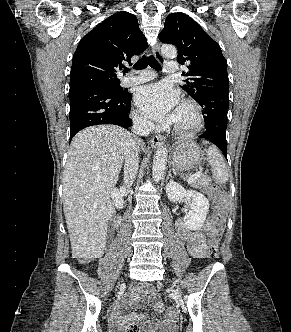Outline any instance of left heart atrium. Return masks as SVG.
Listing matches in <instances>:
<instances>
[{"label":"left heart atrium","instance_id":"1","mask_svg":"<svg viewBox=\"0 0 291 332\" xmlns=\"http://www.w3.org/2000/svg\"><path fill=\"white\" fill-rule=\"evenodd\" d=\"M136 103L149 119L160 123H173L179 94L166 83H154L137 91Z\"/></svg>","mask_w":291,"mask_h":332}]
</instances>
